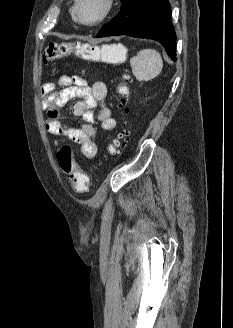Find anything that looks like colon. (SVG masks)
<instances>
[{"mask_svg": "<svg viewBox=\"0 0 233 328\" xmlns=\"http://www.w3.org/2000/svg\"><path fill=\"white\" fill-rule=\"evenodd\" d=\"M74 55L87 61L111 62L124 58V51L117 45H101L93 46L91 44L75 41L67 43H50L43 54V62L49 63L59 60L65 56ZM128 77H123L117 87L119 95V107L128 110V96L130 89L126 83ZM128 132L126 130L119 131L111 140L108 152L111 156L118 155L125 146ZM57 160L64 172L69 175L71 185L77 192H88L91 184L88 176L83 172L73 157V151L69 144H62L57 152Z\"/></svg>", "mask_w": 233, "mask_h": 328, "instance_id": "obj_1", "label": "colon"}]
</instances>
